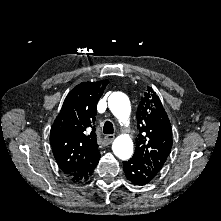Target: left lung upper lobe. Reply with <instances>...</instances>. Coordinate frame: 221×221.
<instances>
[{
  "label": "left lung upper lobe",
  "instance_id": "obj_1",
  "mask_svg": "<svg viewBox=\"0 0 221 221\" xmlns=\"http://www.w3.org/2000/svg\"><path fill=\"white\" fill-rule=\"evenodd\" d=\"M137 147L133 158L157 174L172 147V128L163 105L148 86L137 109Z\"/></svg>",
  "mask_w": 221,
  "mask_h": 221
}]
</instances>
